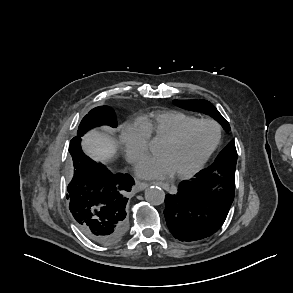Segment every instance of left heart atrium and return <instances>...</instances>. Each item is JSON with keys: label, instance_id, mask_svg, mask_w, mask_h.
<instances>
[{"label": "left heart atrium", "instance_id": "1", "mask_svg": "<svg viewBox=\"0 0 293 293\" xmlns=\"http://www.w3.org/2000/svg\"><path fill=\"white\" fill-rule=\"evenodd\" d=\"M139 176L148 179H162L171 176L174 170L169 160L159 154L157 156L147 157L140 161L136 167Z\"/></svg>", "mask_w": 293, "mask_h": 293}]
</instances>
